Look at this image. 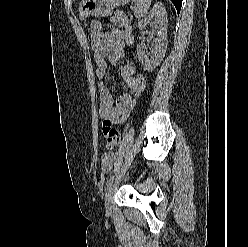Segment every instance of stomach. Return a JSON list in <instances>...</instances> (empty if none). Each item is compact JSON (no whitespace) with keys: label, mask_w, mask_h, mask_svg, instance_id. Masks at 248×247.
I'll list each match as a JSON object with an SVG mask.
<instances>
[{"label":"stomach","mask_w":248,"mask_h":247,"mask_svg":"<svg viewBox=\"0 0 248 247\" xmlns=\"http://www.w3.org/2000/svg\"><path fill=\"white\" fill-rule=\"evenodd\" d=\"M126 2L127 0H81L79 14L82 18L108 16L112 14L115 6Z\"/></svg>","instance_id":"obj_1"}]
</instances>
